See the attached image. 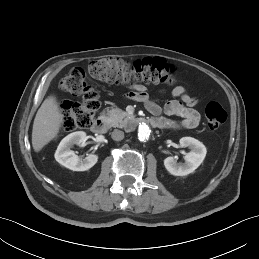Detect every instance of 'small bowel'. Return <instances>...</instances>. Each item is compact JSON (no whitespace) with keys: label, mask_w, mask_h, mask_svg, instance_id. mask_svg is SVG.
Masks as SVG:
<instances>
[{"label":"small bowel","mask_w":259,"mask_h":259,"mask_svg":"<svg viewBox=\"0 0 259 259\" xmlns=\"http://www.w3.org/2000/svg\"><path fill=\"white\" fill-rule=\"evenodd\" d=\"M173 99L167 101L163 107L157 104L148 94L146 88L142 85H133L127 93L131 100L141 102L145 108L156 118H161L164 128H186L193 129L199 125L200 114L194 108L197 99L190 96L183 86H176L172 89ZM162 112L167 116H179L182 118L180 123L160 117Z\"/></svg>","instance_id":"small-bowel-1"}]
</instances>
